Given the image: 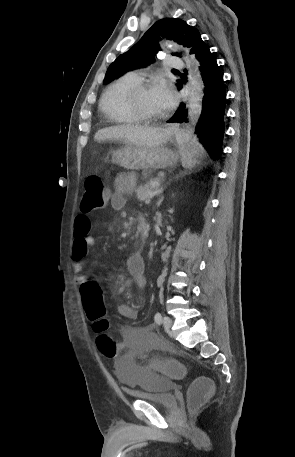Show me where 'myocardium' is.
I'll return each instance as SVG.
<instances>
[{
	"label": "myocardium",
	"mask_w": 295,
	"mask_h": 457,
	"mask_svg": "<svg viewBox=\"0 0 295 457\" xmlns=\"http://www.w3.org/2000/svg\"><path fill=\"white\" fill-rule=\"evenodd\" d=\"M152 84L150 82H142L133 86L127 94V103L134 114L140 121L155 122L161 120L165 114L151 115L146 113L139 104V95L142 91L150 89Z\"/></svg>",
	"instance_id": "1"
}]
</instances>
